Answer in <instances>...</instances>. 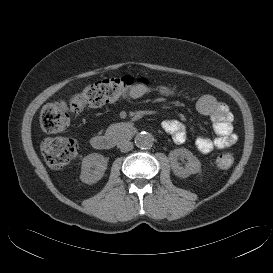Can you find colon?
<instances>
[{
	"label": "colon",
	"instance_id": "1",
	"mask_svg": "<svg viewBox=\"0 0 273 273\" xmlns=\"http://www.w3.org/2000/svg\"><path fill=\"white\" fill-rule=\"evenodd\" d=\"M144 78L124 76L105 78L94 82L78 93L47 104L40 114L41 128L48 133L63 131L69 124L71 113H79L85 107H99L128 97L135 88L147 87ZM42 152L47 164L52 168H62L73 161L78 154V144L67 137H50L43 141ZM234 163V155L224 151L217 155L218 169H229Z\"/></svg>",
	"mask_w": 273,
	"mask_h": 273
}]
</instances>
